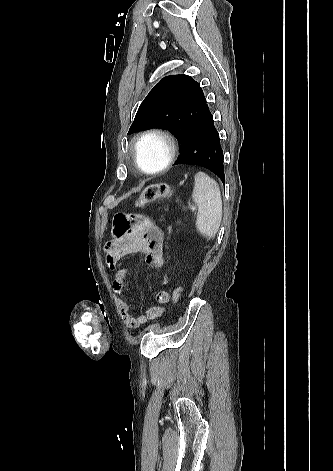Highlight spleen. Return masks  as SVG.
<instances>
[{"label": "spleen", "instance_id": "obj_1", "mask_svg": "<svg viewBox=\"0 0 333 471\" xmlns=\"http://www.w3.org/2000/svg\"><path fill=\"white\" fill-rule=\"evenodd\" d=\"M192 198L198 206L196 228L203 236L215 237L222 220V199L218 183L204 172L194 177Z\"/></svg>", "mask_w": 333, "mask_h": 471}]
</instances>
